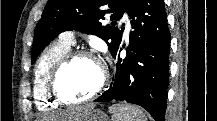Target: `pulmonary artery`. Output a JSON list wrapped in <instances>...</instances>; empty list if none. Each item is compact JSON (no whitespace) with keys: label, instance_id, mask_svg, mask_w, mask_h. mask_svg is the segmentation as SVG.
<instances>
[{"label":"pulmonary artery","instance_id":"e3ab8cb5","mask_svg":"<svg viewBox=\"0 0 217 121\" xmlns=\"http://www.w3.org/2000/svg\"><path fill=\"white\" fill-rule=\"evenodd\" d=\"M123 21L125 23V33L128 34L131 31L130 17L128 15H124ZM61 39L68 44H73L75 42V33L73 31L65 32L61 36Z\"/></svg>","mask_w":217,"mask_h":121}]
</instances>
